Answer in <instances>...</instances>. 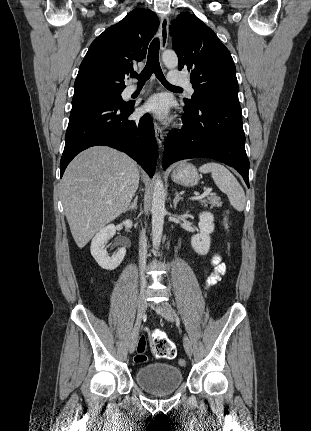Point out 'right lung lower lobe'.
<instances>
[{"label": "right lung lower lobe", "mask_w": 311, "mask_h": 431, "mask_svg": "<svg viewBox=\"0 0 311 431\" xmlns=\"http://www.w3.org/2000/svg\"><path fill=\"white\" fill-rule=\"evenodd\" d=\"M133 111L134 103L91 102L72 106L60 161V177L78 153L95 145H107L125 152L152 177L157 160L153 122L149 114L139 121L128 120Z\"/></svg>", "instance_id": "1"}]
</instances>
